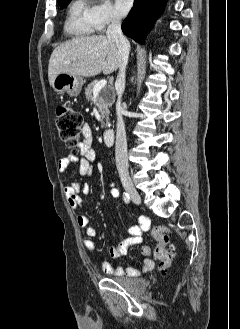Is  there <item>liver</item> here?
<instances>
[{
	"label": "liver",
	"mask_w": 240,
	"mask_h": 329,
	"mask_svg": "<svg viewBox=\"0 0 240 329\" xmlns=\"http://www.w3.org/2000/svg\"><path fill=\"white\" fill-rule=\"evenodd\" d=\"M119 68V52L114 40L104 35L74 38L56 47L48 65L52 85L60 73L93 77L110 74Z\"/></svg>",
	"instance_id": "1"
}]
</instances>
